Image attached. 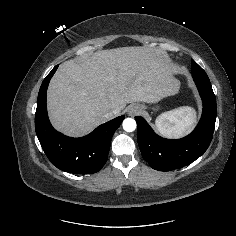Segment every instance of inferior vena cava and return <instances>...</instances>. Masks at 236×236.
Here are the masks:
<instances>
[{"mask_svg":"<svg viewBox=\"0 0 236 236\" xmlns=\"http://www.w3.org/2000/svg\"><path fill=\"white\" fill-rule=\"evenodd\" d=\"M117 114H118L117 110H113V111L107 112V113L105 114V117H106L107 119H112V118H114Z\"/></svg>","mask_w":236,"mask_h":236,"instance_id":"1","label":"inferior vena cava"}]
</instances>
